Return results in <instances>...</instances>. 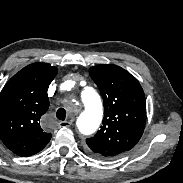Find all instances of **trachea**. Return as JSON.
Masks as SVG:
<instances>
[{"mask_svg": "<svg viewBox=\"0 0 183 183\" xmlns=\"http://www.w3.org/2000/svg\"><path fill=\"white\" fill-rule=\"evenodd\" d=\"M56 117L59 119V120H65L66 118V111L65 109L63 108H59L56 112Z\"/></svg>", "mask_w": 183, "mask_h": 183, "instance_id": "3493384b", "label": "trachea"}]
</instances>
